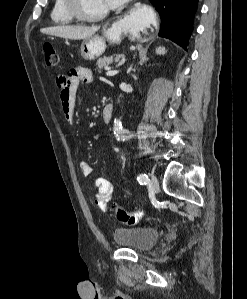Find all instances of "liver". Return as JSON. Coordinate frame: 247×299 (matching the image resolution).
Wrapping results in <instances>:
<instances>
[{
    "label": "liver",
    "mask_w": 247,
    "mask_h": 299,
    "mask_svg": "<svg viewBox=\"0 0 247 299\" xmlns=\"http://www.w3.org/2000/svg\"><path fill=\"white\" fill-rule=\"evenodd\" d=\"M100 26H70V25H59L54 27H46L40 30L41 33L57 36L60 38L81 40L92 37Z\"/></svg>",
    "instance_id": "6515ba94"
}]
</instances>
